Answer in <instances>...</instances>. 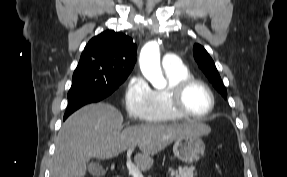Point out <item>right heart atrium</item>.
<instances>
[{
    "label": "right heart atrium",
    "instance_id": "obj_1",
    "mask_svg": "<svg viewBox=\"0 0 287 177\" xmlns=\"http://www.w3.org/2000/svg\"><path fill=\"white\" fill-rule=\"evenodd\" d=\"M151 89L141 76H132L124 90V106L135 122L148 120Z\"/></svg>",
    "mask_w": 287,
    "mask_h": 177
}]
</instances>
